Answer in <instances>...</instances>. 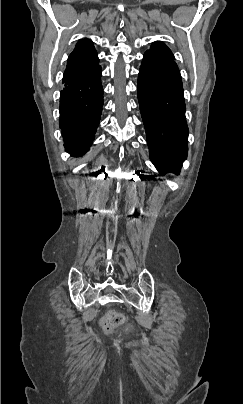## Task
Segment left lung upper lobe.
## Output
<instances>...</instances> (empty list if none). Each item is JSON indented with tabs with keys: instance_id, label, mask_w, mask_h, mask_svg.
<instances>
[{
	"instance_id": "1",
	"label": "left lung upper lobe",
	"mask_w": 243,
	"mask_h": 404,
	"mask_svg": "<svg viewBox=\"0 0 243 404\" xmlns=\"http://www.w3.org/2000/svg\"><path fill=\"white\" fill-rule=\"evenodd\" d=\"M146 52H150L158 57H162L169 60H174V56L170 49L163 44L162 42H154L149 50Z\"/></svg>"
}]
</instances>
